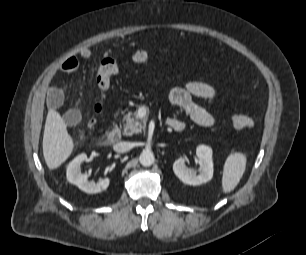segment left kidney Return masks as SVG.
I'll list each match as a JSON object with an SVG mask.
<instances>
[{"mask_svg": "<svg viewBox=\"0 0 306 255\" xmlns=\"http://www.w3.org/2000/svg\"><path fill=\"white\" fill-rule=\"evenodd\" d=\"M197 160L199 163V174L194 169L188 168L187 158H179L173 164L175 175L185 184L200 185L210 181L213 177L212 149L206 145H199L196 149Z\"/></svg>", "mask_w": 306, "mask_h": 255, "instance_id": "5707ae66", "label": "left kidney"}]
</instances>
